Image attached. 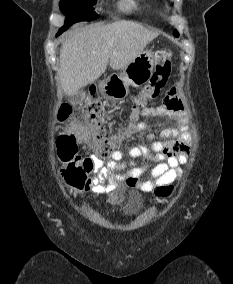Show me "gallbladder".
I'll return each instance as SVG.
<instances>
[{
    "label": "gallbladder",
    "mask_w": 233,
    "mask_h": 284,
    "mask_svg": "<svg viewBox=\"0 0 233 284\" xmlns=\"http://www.w3.org/2000/svg\"><path fill=\"white\" fill-rule=\"evenodd\" d=\"M87 97V91L82 88L75 95L71 97V102L75 105L81 104L85 101Z\"/></svg>",
    "instance_id": "1"
}]
</instances>
